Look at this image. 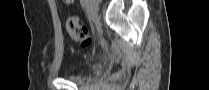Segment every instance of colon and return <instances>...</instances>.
<instances>
[{
  "mask_svg": "<svg viewBox=\"0 0 209 90\" xmlns=\"http://www.w3.org/2000/svg\"><path fill=\"white\" fill-rule=\"evenodd\" d=\"M66 29L72 40L81 44V46H88L92 39L86 26L81 25L77 17H70L66 22Z\"/></svg>",
  "mask_w": 209,
  "mask_h": 90,
  "instance_id": "5ec220e1",
  "label": "colon"
}]
</instances>
